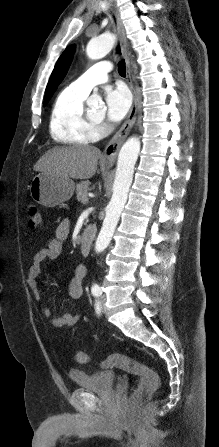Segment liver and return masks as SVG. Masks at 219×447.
Masks as SVG:
<instances>
[{"mask_svg":"<svg viewBox=\"0 0 219 447\" xmlns=\"http://www.w3.org/2000/svg\"><path fill=\"white\" fill-rule=\"evenodd\" d=\"M100 157L101 151L93 146L54 147L37 161L34 170L64 178L89 179L95 174Z\"/></svg>","mask_w":219,"mask_h":447,"instance_id":"liver-1","label":"liver"}]
</instances>
